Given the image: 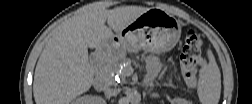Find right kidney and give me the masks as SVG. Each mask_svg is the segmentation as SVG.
Here are the masks:
<instances>
[{
  "mask_svg": "<svg viewBox=\"0 0 252 104\" xmlns=\"http://www.w3.org/2000/svg\"><path fill=\"white\" fill-rule=\"evenodd\" d=\"M104 102L105 101L101 97L85 95V96L77 98L73 103L74 104H99V103H104Z\"/></svg>",
  "mask_w": 252,
  "mask_h": 104,
  "instance_id": "ca27d5eb",
  "label": "right kidney"
}]
</instances>
